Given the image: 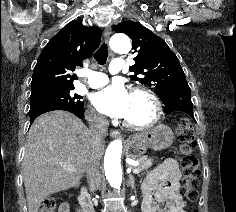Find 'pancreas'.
Instances as JSON below:
<instances>
[{
    "instance_id": "1",
    "label": "pancreas",
    "mask_w": 236,
    "mask_h": 212,
    "mask_svg": "<svg viewBox=\"0 0 236 212\" xmlns=\"http://www.w3.org/2000/svg\"><path fill=\"white\" fill-rule=\"evenodd\" d=\"M139 165L137 166L140 171L147 170L152 166V159L148 158L147 156H140L137 158Z\"/></svg>"
}]
</instances>
